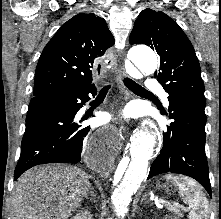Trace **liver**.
<instances>
[{
    "instance_id": "liver-1",
    "label": "liver",
    "mask_w": 221,
    "mask_h": 219,
    "mask_svg": "<svg viewBox=\"0 0 221 219\" xmlns=\"http://www.w3.org/2000/svg\"><path fill=\"white\" fill-rule=\"evenodd\" d=\"M89 175L69 165L37 166L12 192L11 219H68L91 191Z\"/></svg>"
}]
</instances>
